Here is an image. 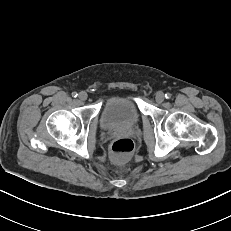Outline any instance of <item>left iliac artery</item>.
<instances>
[{
	"mask_svg": "<svg viewBox=\"0 0 231 231\" xmlns=\"http://www.w3.org/2000/svg\"><path fill=\"white\" fill-rule=\"evenodd\" d=\"M165 97H166V99H170L171 98V94L170 93H166Z\"/></svg>",
	"mask_w": 231,
	"mask_h": 231,
	"instance_id": "1",
	"label": "left iliac artery"
}]
</instances>
